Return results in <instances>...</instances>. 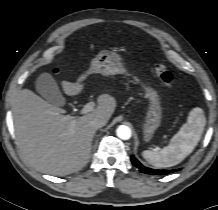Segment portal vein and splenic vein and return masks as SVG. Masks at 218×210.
<instances>
[{"mask_svg": "<svg viewBox=\"0 0 218 210\" xmlns=\"http://www.w3.org/2000/svg\"><path fill=\"white\" fill-rule=\"evenodd\" d=\"M95 107V103L94 102H89L87 103L82 110L80 111V114H86L88 112H91Z\"/></svg>", "mask_w": 218, "mask_h": 210, "instance_id": "obj_1", "label": "portal vein and splenic vein"}]
</instances>
